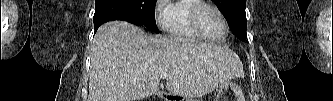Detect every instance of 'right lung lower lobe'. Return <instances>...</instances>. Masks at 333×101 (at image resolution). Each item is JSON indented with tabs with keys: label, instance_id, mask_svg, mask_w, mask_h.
Returning <instances> with one entry per match:
<instances>
[{
	"label": "right lung lower lobe",
	"instance_id": "obj_1",
	"mask_svg": "<svg viewBox=\"0 0 333 101\" xmlns=\"http://www.w3.org/2000/svg\"><path fill=\"white\" fill-rule=\"evenodd\" d=\"M123 20L137 25V19L132 10L121 0H99L95 4L93 17L95 32L105 22Z\"/></svg>",
	"mask_w": 333,
	"mask_h": 101
}]
</instances>
